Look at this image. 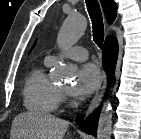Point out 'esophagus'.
Segmentation results:
<instances>
[{
    "label": "esophagus",
    "mask_w": 141,
    "mask_h": 139,
    "mask_svg": "<svg viewBox=\"0 0 141 139\" xmlns=\"http://www.w3.org/2000/svg\"><path fill=\"white\" fill-rule=\"evenodd\" d=\"M106 85H107V76L106 73L103 71L98 89L85 113L86 116L91 114L100 104L102 97L104 96L105 93Z\"/></svg>",
    "instance_id": "1"
}]
</instances>
